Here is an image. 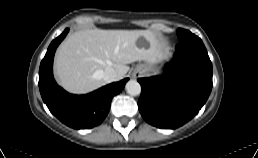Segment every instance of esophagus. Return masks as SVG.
Returning a JSON list of instances; mask_svg holds the SVG:
<instances>
[{
	"instance_id": "obj_1",
	"label": "esophagus",
	"mask_w": 258,
	"mask_h": 158,
	"mask_svg": "<svg viewBox=\"0 0 258 158\" xmlns=\"http://www.w3.org/2000/svg\"><path fill=\"white\" fill-rule=\"evenodd\" d=\"M141 76V73L140 72H134L133 73V77L134 78H138V77H140Z\"/></svg>"
}]
</instances>
